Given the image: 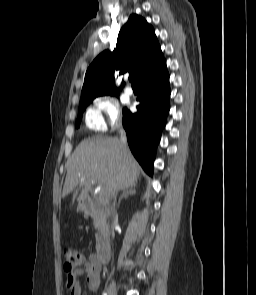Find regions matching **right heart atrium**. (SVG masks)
Wrapping results in <instances>:
<instances>
[{"label": "right heart atrium", "mask_w": 256, "mask_h": 295, "mask_svg": "<svg viewBox=\"0 0 256 295\" xmlns=\"http://www.w3.org/2000/svg\"><path fill=\"white\" fill-rule=\"evenodd\" d=\"M94 111L102 128L117 127L122 121L118 102L110 95H102L94 100Z\"/></svg>", "instance_id": "d8ad5b80"}]
</instances>
